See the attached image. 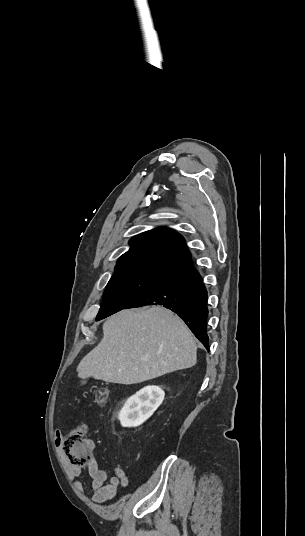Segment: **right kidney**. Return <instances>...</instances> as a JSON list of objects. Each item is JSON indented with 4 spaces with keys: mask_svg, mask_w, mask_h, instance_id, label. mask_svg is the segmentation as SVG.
Returning a JSON list of instances; mask_svg holds the SVG:
<instances>
[{
    "mask_svg": "<svg viewBox=\"0 0 305 536\" xmlns=\"http://www.w3.org/2000/svg\"><path fill=\"white\" fill-rule=\"evenodd\" d=\"M164 392L159 386H146L135 396L127 400L119 414V420L124 428L140 426L148 420L164 400Z\"/></svg>",
    "mask_w": 305,
    "mask_h": 536,
    "instance_id": "right-kidney-1",
    "label": "right kidney"
}]
</instances>
